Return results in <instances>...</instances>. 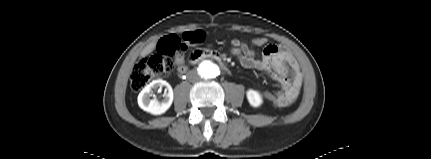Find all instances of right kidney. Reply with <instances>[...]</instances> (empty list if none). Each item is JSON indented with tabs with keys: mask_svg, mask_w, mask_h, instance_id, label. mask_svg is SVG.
Here are the masks:
<instances>
[{
	"mask_svg": "<svg viewBox=\"0 0 431 159\" xmlns=\"http://www.w3.org/2000/svg\"><path fill=\"white\" fill-rule=\"evenodd\" d=\"M165 87V92L163 99L159 100L157 98L150 99L153 92L161 91ZM173 90L172 87L166 81L162 79L154 80L149 85H147L138 95V105L141 109L149 112L153 115H160L165 113L173 102Z\"/></svg>",
	"mask_w": 431,
	"mask_h": 159,
	"instance_id": "obj_1",
	"label": "right kidney"
}]
</instances>
